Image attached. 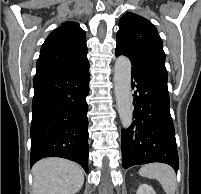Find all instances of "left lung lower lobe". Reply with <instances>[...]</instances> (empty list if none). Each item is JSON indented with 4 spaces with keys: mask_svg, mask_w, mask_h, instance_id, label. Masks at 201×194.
Here are the masks:
<instances>
[{
    "mask_svg": "<svg viewBox=\"0 0 201 194\" xmlns=\"http://www.w3.org/2000/svg\"><path fill=\"white\" fill-rule=\"evenodd\" d=\"M115 55H122L115 50ZM131 88L134 89L136 119L122 130V166L162 162L178 170L175 129L170 115L167 72L132 63Z\"/></svg>",
    "mask_w": 201,
    "mask_h": 194,
    "instance_id": "left-lung-lower-lobe-1",
    "label": "left lung lower lobe"
}]
</instances>
